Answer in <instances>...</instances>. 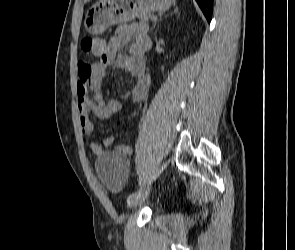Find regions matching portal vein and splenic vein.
Masks as SVG:
<instances>
[{"mask_svg":"<svg viewBox=\"0 0 295 250\" xmlns=\"http://www.w3.org/2000/svg\"><path fill=\"white\" fill-rule=\"evenodd\" d=\"M156 19H157V17H153V18H152V20H156Z\"/></svg>","mask_w":295,"mask_h":250,"instance_id":"portal-vein-and-splenic-vein-1","label":"portal vein and splenic vein"}]
</instances>
